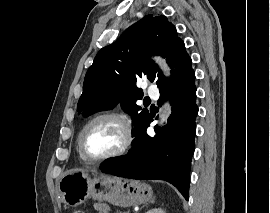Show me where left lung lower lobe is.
<instances>
[{
    "mask_svg": "<svg viewBox=\"0 0 270 213\" xmlns=\"http://www.w3.org/2000/svg\"><path fill=\"white\" fill-rule=\"evenodd\" d=\"M194 79L195 72L189 67L170 82L171 90L167 85L161 88L160 103L168 95L172 104L168 124L163 128L155 127L157 135L150 137L146 133L152 122L149 116L134 131L131 152L110 159L100 167L101 171L137 180H165L177 187L188 200L190 164L195 149V118L198 113Z\"/></svg>",
    "mask_w": 270,
    "mask_h": 213,
    "instance_id": "left-lung-lower-lobe-1",
    "label": "left lung lower lobe"
}]
</instances>
